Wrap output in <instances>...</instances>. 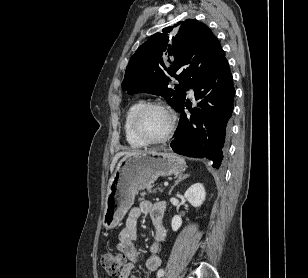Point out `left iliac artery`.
Masks as SVG:
<instances>
[{"instance_id": "obj_1", "label": "left iliac artery", "mask_w": 308, "mask_h": 278, "mask_svg": "<svg viewBox=\"0 0 308 278\" xmlns=\"http://www.w3.org/2000/svg\"><path fill=\"white\" fill-rule=\"evenodd\" d=\"M163 275H164V270H163V269H160V270L157 272V277H158V278H161Z\"/></svg>"}]
</instances>
